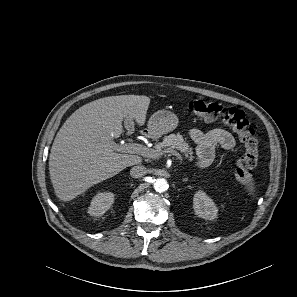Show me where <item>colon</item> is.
<instances>
[{"label": "colon", "instance_id": "5ec220e1", "mask_svg": "<svg viewBox=\"0 0 297 297\" xmlns=\"http://www.w3.org/2000/svg\"><path fill=\"white\" fill-rule=\"evenodd\" d=\"M188 109L205 121L222 119L237 135L245 149L232 166L233 173L243 185H253L255 178L252 171L257 163L258 142L245 113L238 108H228L219 103L193 100Z\"/></svg>", "mask_w": 297, "mask_h": 297}]
</instances>
